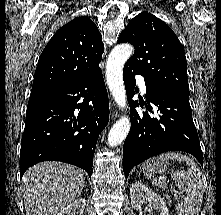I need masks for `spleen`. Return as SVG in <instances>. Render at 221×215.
Returning <instances> with one entry per match:
<instances>
[{
    "mask_svg": "<svg viewBox=\"0 0 221 215\" xmlns=\"http://www.w3.org/2000/svg\"><path fill=\"white\" fill-rule=\"evenodd\" d=\"M163 160H177L178 162H186L187 166H191L187 171H176L171 174L172 178L177 182L178 190L182 200L177 203L176 209L178 215H199V211L203 201V182L200 178V170L195 162L188 156L176 153H167L162 156ZM153 184L164 188L165 183L160 179H154Z\"/></svg>",
    "mask_w": 221,
    "mask_h": 215,
    "instance_id": "spleen-1",
    "label": "spleen"
}]
</instances>
